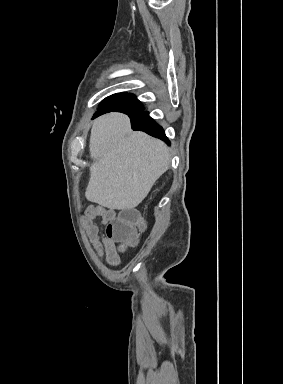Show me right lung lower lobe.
I'll return each mask as SVG.
<instances>
[{"instance_id":"right-lung-lower-lobe-1","label":"right lung lower lobe","mask_w":283,"mask_h":384,"mask_svg":"<svg viewBox=\"0 0 283 384\" xmlns=\"http://www.w3.org/2000/svg\"><path fill=\"white\" fill-rule=\"evenodd\" d=\"M112 111L127 114L130 117L133 130L144 131L147 134L170 144V141L166 137L163 128L155 123V121L148 115V112H142V110H136L128 107H116L111 109H99L95 113L94 118Z\"/></svg>"}]
</instances>
